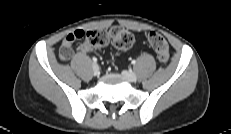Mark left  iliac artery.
Instances as JSON below:
<instances>
[{"label": "left iliac artery", "mask_w": 231, "mask_h": 134, "mask_svg": "<svg viewBox=\"0 0 231 134\" xmlns=\"http://www.w3.org/2000/svg\"><path fill=\"white\" fill-rule=\"evenodd\" d=\"M131 63H132L133 65H135V64H136V60H133Z\"/></svg>", "instance_id": "left-iliac-artery-1"}]
</instances>
